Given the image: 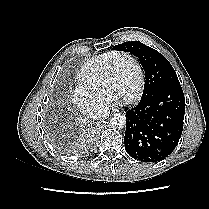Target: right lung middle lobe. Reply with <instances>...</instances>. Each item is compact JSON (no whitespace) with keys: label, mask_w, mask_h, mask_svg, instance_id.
Listing matches in <instances>:
<instances>
[{"label":"right lung middle lobe","mask_w":209,"mask_h":209,"mask_svg":"<svg viewBox=\"0 0 209 209\" xmlns=\"http://www.w3.org/2000/svg\"><path fill=\"white\" fill-rule=\"evenodd\" d=\"M53 142L58 149L66 153L73 154V153H80L82 151L81 148L72 144H68L67 141L61 136H54Z\"/></svg>","instance_id":"dd1d6c3e"}]
</instances>
